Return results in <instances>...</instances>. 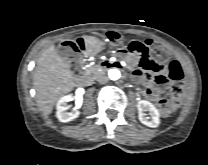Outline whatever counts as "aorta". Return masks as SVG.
Wrapping results in <instances>:
<instances>
[{"mask_svg":"<svg viewBox=\"0 0 208 165\" xmlns=\"http://www.w3.org/2000/svg\"><path fill=\"white\" fill-rule=\"evenodd\" d=\"M108 76L111 80H118L121 76V73L118 69H110L108 71Z\"/></svg>","mask_w":208,"mask_h":165,"instance_id":"762f6f07","label":"aorta"}]
</instances>
